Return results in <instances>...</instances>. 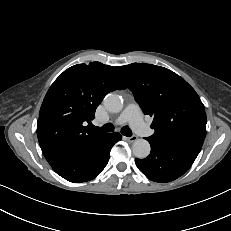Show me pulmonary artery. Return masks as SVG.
<instances>
[{
    "instance_id": "pulmonary-artery-1",
    "label": "pulmonary artery",
    "mask_w": 231,
    "mask_h": 231,
    "mask_svg": "<svg viewBox=\"0 0 231 231\" xmlns=\"http://www.w3.org/2000/svg\"><path fill=\"white\" fill-rule=\"evenodd\" d=\"M117 124L129 123L132 129L142 136H150L151 128L143 121L141 110L135 103L128 104L116 120Z\"/></svg>"
}]
</instances>
